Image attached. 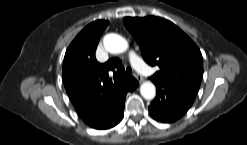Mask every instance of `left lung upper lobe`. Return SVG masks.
I'll use <instances>...</instances> for the list:
<instances>
[{
	"label": "left lung upper lobe",
	"instance_id": "obj_1",
	"mask_svg": "<svg viewBox=\"0 0 247 145\" xmlns=\"http://www.w3.org/2000/svg\"><path fill=\"white\" fill-rule=\"evenodd\" d=\"M123 22L137 40L143 59L159 67L151 80H162L197 94L203 76L202 54L182 30L154 16L125 17Z\"/></svg>",
	"mask_w": 247,
	"mask_h": 145
}]
</instances>
